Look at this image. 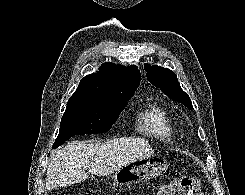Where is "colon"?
<instances>
[{
    "instance_id": "5ec220e1",
    "label": "colon",
    "mask_w": 245,
    "mask_h": 195,
    "mask_svg": "<svg viewBox=\"0 0 245 195\" xmlns=\"http://www.w3.org/2000/svg\"><path fill=\"white\" fill-rule=\"evenodd\" d=\"M200 183L194 177H181L163 186L157 195H199Z\"/></svg>"
}]
</instances>
